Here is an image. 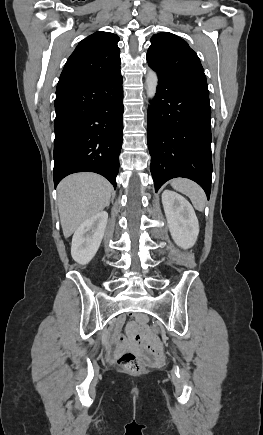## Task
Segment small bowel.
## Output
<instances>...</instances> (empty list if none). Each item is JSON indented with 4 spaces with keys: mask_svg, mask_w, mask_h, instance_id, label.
Listing matches in <instances>:
<instances>
[{
    "mask_svg": "<svg viewBox=\"0 0 263 435\" xmlns=\"http://www.w3.org/2000/svg\"><path fill=\"white\" fill-rule=\"evenodd\" d=\"M138 323L144 325L148 322V317L141 314L137 317ZM146 341H142L141 336H132L131 341L127 340L123 335H118L114 343V348L124 349L127 347L141 350L143 356H151L152 361L162 362L161 348L162 343L155 341L157 334L155 332H146L144 335ZM147 341H150L148 343Z\"/></svg>",
    "mask_w": 263,
    "mask_h": 435,
    "instance_id": "obj_1",
    "label": "small bowel"
}]
</instances>
